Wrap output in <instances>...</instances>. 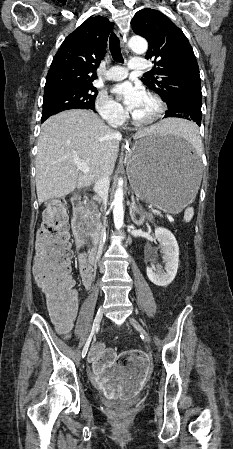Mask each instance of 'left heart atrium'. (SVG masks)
Listing matches in <instances>:
<instances>
[{"label": "left heart atrium", "mask_w": 233, "mask_h": 449, "mask_svg": "<svg viewBox=\"0 0 233 449\" xmlns=\"http://www.w3.org/2000/svg\"><path fill=\"white\" fill-rule=\"evenodd\" d=\"M113 93L123 99L126 109L133 115L146 97V93L131 82H124L115 86Z\"/></svg>", "instance_id": "39dd6f15"}]
</instances>
